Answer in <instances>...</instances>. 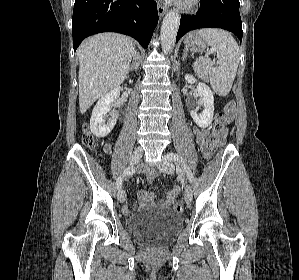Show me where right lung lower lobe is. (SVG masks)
I'll list each match as a JSON object with an SVG mask.
<instances>
[{
	"label": "right lung lower lobe",
	"mask_w": 299,
	"mask_h": 280,
	"mask_svg": "<svg viewBox=\"0 0 299 280\" xmlns=\"http://www.w3.org/2000/svg\"><path fill=\"white\" fill-rule=\"evenodd\" d=\"M157 23L154 0H75L73 48L76 51L86 37L101 32L129 35L147 48Z\"/></svg>",
	"instance_id": "1"
}]
</instances>
